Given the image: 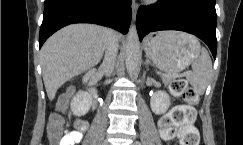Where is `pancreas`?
Returning <instances> with one entry per match:
<instances>
[{
	"instance_id": "obj_1",
	"label": "pancreas",
	"mask_w": 243,
	"mask_h": 145,
	"mask_svg": "<svg viewBox=\"0 0 243 145\" xmlns=\"http://www.w3.org/2000/svg\"><path fill=\"white\" fill-rule=\"evenodd\" d=\"M171 76H164L163 77V81H164V83H168V82H170L171 81Z\"/></svg>"
}]
</instances>
